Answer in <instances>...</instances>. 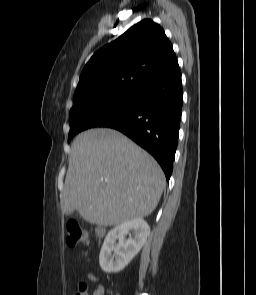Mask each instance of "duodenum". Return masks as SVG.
<instances>
[{
    "label": "duodenum",
    "instance_id": "obj_1",
    "mask_svg": "<svg viewBox=\"0 0 256 295\" xmlns=\"http://www.w3.org/2000/svg\"><path fill=\"white\" fill-rule=\"evenodd\" d=\"M96 233L98 236H102V235H104V230L102 228H99V229H97Z\"/></svg>",
    "mask_w": 256,
    "mask_h": 295
}]
</instances>
